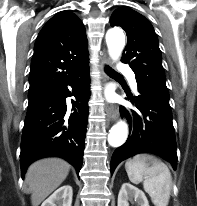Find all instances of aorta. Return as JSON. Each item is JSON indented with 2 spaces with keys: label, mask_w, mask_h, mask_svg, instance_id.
Returning a JSON list of instances; mask_svg holds the SVG:
<instances>
[{
  "label": "aorta",
  "mask_w": 197,
  "mask_h": 206,
  "mask_svg": "<svg viewBox=\"0 0 197 206\" xmlns=\"http://www.w3.org/2000/svg\"><path fill=\"white\" fill-rule=\"evenodd\" d=\"M106 42L109 55L113 60H117L125 46V36L121 29H110L106 34ZM128 126L124 121L117 122L110 130L108 143L112 147L121 146L127 139Z\"/></svg>",
  "instance_id": "762f6f07"
}]
</instances>
